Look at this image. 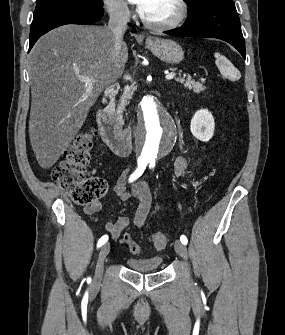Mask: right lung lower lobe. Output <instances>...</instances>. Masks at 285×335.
I'll list each match as a JSON object with an SVG mask.
<instances>
[{
  "mask_svg": "<svg viewBox=\"0 0 285 335\" xmlns=\"http://www.w3.org/2000/svg\"><path fill=\"white\" fill-rule=\"evenodd\" d=\"M104 11L71 5H57L34 14L29 37V51L40 36L66 24H92L98 21Z\"/></svg>",
  "mask_w": 285,
  "mask_h": 335,
  "instance_id": "98d812e1",
  "label": "right lung lower lobe"
}]
</instances>
